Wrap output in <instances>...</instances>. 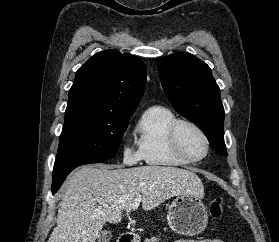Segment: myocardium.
Listing matches in <instances>:
<instances>
[{
    "label": "myocardium",
    "mask_w": 279,
    "mask_h": 242,
    "mask_svg": "<svg viewBox=\"0 0 279 242\" xmlns=\"http://www.w3.org/2000/svg\"><path fill=\"white\" fill-rule=\"evenodd\" d=\"M184 126L192 128L202 137L205 143V152L201 157L198 158L191 157L183 150L181 146L179 134L181 128ZM168 139H169L170 147L174 152V154L186 163H198L203 159H205L210 151V140L206 132L198 124H196L191 120L177 119L176 121H174V123L171 125L169 129Z\"/></svg>",
    "instance_id": "f54148a6"
}]
</instances>
